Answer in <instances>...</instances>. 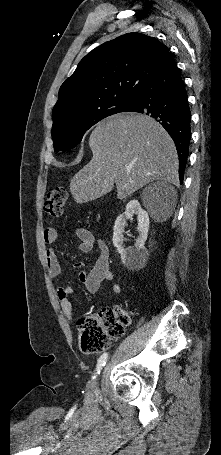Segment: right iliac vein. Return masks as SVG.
<instances>
[{"instance_id": "obj_1", "label": "right iliac vein", "mask_w": 221, "mask_h": 455, "mask_svg": "<svg viewBox=\"0 0 221 455\" xmlns=\"http://www.w3.org/2000/svg\"><path fill=\"white\" fill-rule=\"evenodd\" d=\"M97 389V379H94L87 385V394L91 396Z\"/></svg>"}]
</instances>
